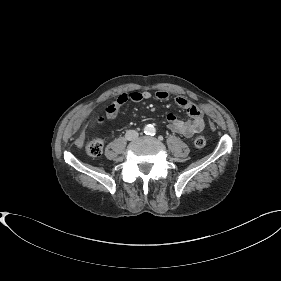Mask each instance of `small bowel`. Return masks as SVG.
Segmentation results:
<instances>
[{"label": "small bowel", "instance_id": "obj_1", "mask_svg": "<svg viewBox=\"0 0 281 281\" xmlns=\"http://www.w3.org/2000/svg\"><path fill=\"white\" fill-rule=\"evenodd\" d=\"M151 97L152 93L147 90L121 93L116 100L106 107V115L109 119H114L119 108L126 102H141ZM155 98L159 101L167 100L169 98V93L164 90H159L155 93ZM174 101L177 106L187 110L190 119L188 121H183L178 119L175 114L168 113L166 119L169 130L187 138L200 133L204 129L202 109L183 96H176Z\"/></svg>", "mask_w": 281, "mask_h": 281}]
</instances>
